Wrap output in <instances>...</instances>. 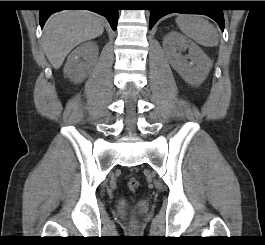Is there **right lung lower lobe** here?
Returning a JSON list of instances; mask_svg holds the SVG:
<instances>
[{
	"instance_id": "right-lung-lower-lobe-1",
	"label": "right lung lower lobe",
	"mask_w": 265,
	"mask_h": 245,
	"mask_svg": "<svg viewBox=\"0 0 265 245\" xmlns=\"http://www.w3.org/2000/svg\"><path fill=\"white\" fill-rule=\"evenodd\" d=\"M56 5H63L61 3H53ZM77 6L90 7L89 10L95 11L103 16H105L112 29H117L118 21V10L116 8V1H84ZM60 11V9H41L39 13L41 28L44 26L47 18L54 12Z\"/></svg>"
}]
</instances>
